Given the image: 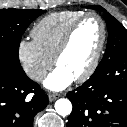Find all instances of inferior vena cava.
I'll list each match as a JSON object with an SVG mask.
<instances>
[{
  "instance_id": "602c4592",
  "label": "inferior vena cava",
  "mask_w": 127,
  "mask_h": 127,
  "mask_svg": "<svg viewBox=\"0 0 127 127\" xmlns=\"http://www.w3.org/2000/svg\"><path fill=\"white\" fill-rule=\"evenodd\" d=\"M47 72L45 70H30L27 75L35 81H40L46 77Z\"/></svg>"
}]
</instances>
